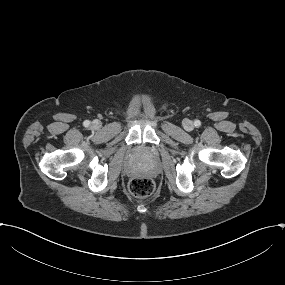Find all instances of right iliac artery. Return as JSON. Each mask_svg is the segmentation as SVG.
<instances>
[{
    "label": "right iliac artery",
    "mask_w": 285,
    "mask_h": 285,
    "mask_svg": "<svg viewBox=\"0 0 285 285\" xmlns=\"http://www.w3.org/2000/svg\"><path fill=\"white\" fill-rule=\"evenodd\" d=\"M83 125H84L85 127H88V126L90 125V122H89L88 120H85V121L83 122Z\"/></svg>",
    "instance_id": "1"
}]
</instances>
